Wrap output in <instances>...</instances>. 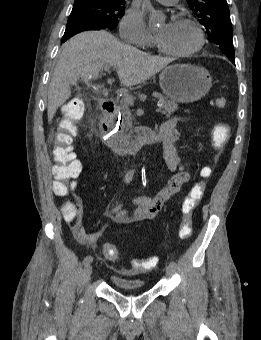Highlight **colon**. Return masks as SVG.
<instances>
[{
  "label": "colon",
  "instance_id": "5ec220e1",
  "mask_svg": "<svg viewBox=\"0 0 261 340\" xmlns=\"http://www.w3.org/2000/svg\"><path fill=\"white\" fill-rule=\"evenodd\" d=\"M214 106L225 108L227 100L223 96H218L214 100ZM85 115V105L79 99H72L64 107L63 117L59 120L55 132L50 137L52 146V156L54 165L52 174L54 177L53 191L59 196H65L74 186L73 180L79 176L82 165L73 151L71 143L78 132V124L83 120ZM230 137V127L226 123L215 125L212 130V144L215 149H221ZM202 180L195 183L189 190L181 206V222L179 226V237L188 239L192 235L193 222L192 213L197 203L205 193L207 180L212 175L210 168H204L201 172ZM62 213L71 216L75 213L73 203L67 202L62 206ZM103 254L106 259L115 261L119 257L118 249L113 244H105ZM157 264L155 257L133 259L131 261L132 269H126L125 272L142 271L153 268Z\"/></svg>",
  "mask_w": 261,
  "mask_h": 340
}]
</instances>
